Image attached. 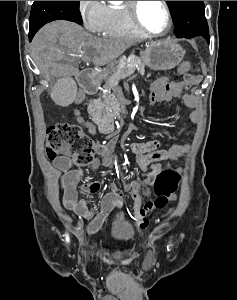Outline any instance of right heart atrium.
<instances>
[{
    "label": "right heart atrium",
    "instance_id": "1",
    "mask_svg": "<svg viewBox=\"0 0 237 300\" xmlns=\"http://www.w3.org/2000/svg\"><path fill=\"white\" fill-rule=\"evenodd\" d=\"M78 9L85 28L104 34L109 27V7L104 1H78Z\"/></svg>",
    "mask_w": 237,
    "mask_h": 300
}]
</instances>
